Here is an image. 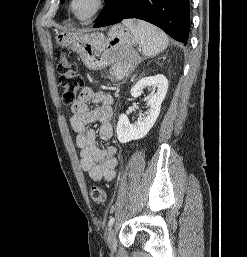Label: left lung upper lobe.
<instances>
[{
  "instance_id": "left-lung-upper-lobe-1",
  "label": "left lung upper lobe",
  "mask_w": 247,
  "mask_h": 257,
  "mask_svg": "<svg viewBox=\"0 0 247 257\" xmlns=\"http://www.w3.org/2000/svg\"><path fill=\"white\" fill-rule=\"evenodd\" d=\"M63 1H64V0H61V3H63ZM106 1H107V0H105V2H106Z\"/></svg>"
}]
</instances>
